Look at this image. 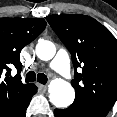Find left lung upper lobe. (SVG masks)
<instances>
[{
	"instance_id": "left-lung-upper-lobe-1",
	"label": "left lung upper lobe",
	"mask_w": 117,
	"mask_h": 117,
	"mask_svg": "<svg viewBox=\"0 0 117 117\" xmlns=\"http://www.w3.org/2000/svg\"><path fill=\"white\" fill-rule=\"evenodd\" d=\"M72 56L74 103L109 110L117 100V40L95 19L81 14L46 17ZM82 68L78 73L77 68Z\"/></svg>"
}]
</instances>
